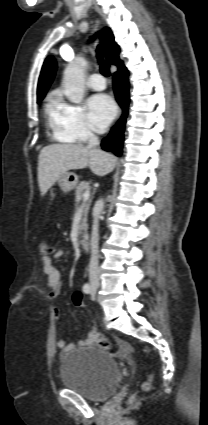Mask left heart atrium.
I'll list each match as a JSON object with an SVG mask.
<instances>
[{"mask_svg":"<svg viewBox=\"0 0 208 425\" xmlns=\"http://www.w3.org/2000/svg\"><path fill=\"white\" fill-rule=\"evenodd\" d=\"M89 121L97 132H103L116 114L113 100L105 94L92 96L88 102Z\"/></svg>","mask_w":208,"mask_h":425,"instance_id":"1","label":"left heart atrium"}]
</instances>
